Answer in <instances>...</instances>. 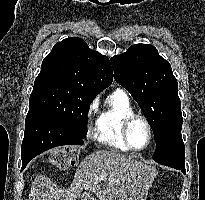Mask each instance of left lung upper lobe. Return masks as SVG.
<instances>
[{"label": "left lung upper lobe", "instance_id": "5c2ea615", "mask_svg": "<svg viewBox=\"0 0 205 200\" xmlns=\"http://www.w3.org/2000/svg\"><path fill=\"white\" fill-rule=\"evenodd\" d=\"M116 81L138 102L157 142L166 123L181 113L177 80L168 61L148 44H136L111 58Z\"/></svg>", "mask_w": 205, "mask_h": 200}]
</instances>
